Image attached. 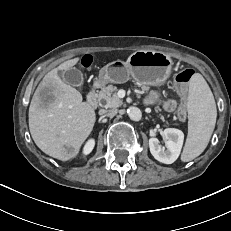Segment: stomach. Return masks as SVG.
<instances>
[{
	"mask_svg": "<svg viewBox=\"0 0 231 231\" xmlns=\"http://www.w3.org/2000/svg\"><path fill=\"white\" fill-rule=\"evenodd\" d=\"M172 65V59L164 52L139 50L126 62L117 60L104 66L99 78L105 83L120 84L132 77L139 84L158 86L169 77Z\"/></svg>",
	"mask_w": 231,
	"mask_h": 231,
	"instance_id": "0dacf381",
	"label": "stomach"
}]
</instances>
